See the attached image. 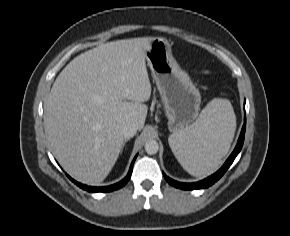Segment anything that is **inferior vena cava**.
Masks as SVG:
<instances>
[{"label": "inferior vena cava", "instance_id": "inferior-vena-cava-1", "mask_svg": "<svg viewBox=\"0 0 290 236\" xmlns=\"http://www.w3.org/2000/svg\"><path fill=\"white\" fill-rule=\"evenodd\" d=\"M136 132L137 129L133 124H124L121 127V133L127 139L133 137L136 134Z\"/></svg>", "mask_w": 290, "mask_h": 236}]
</instances>
